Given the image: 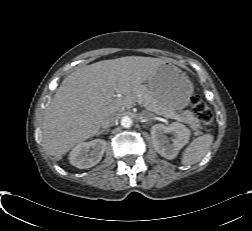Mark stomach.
Listing matches in <instances>:
<instances>
[{
    "mask_svg": "<svg viewBox=\"0 0 252 231\" xmlns=\"http://www.w3.org/2000/svg\"><path fill=\"white\" fill-rule=\"evenodd\" d=\"M148 90L165 111L185 108L194 91L188 77L180 69L166 62L149 77Z\"/></svg>",
    "mask_w": 252,
    "mask_h": 231,
    "instance_id": "1",
    "label": "stomach"
}]
</instances>
